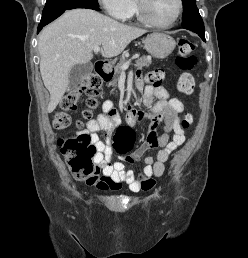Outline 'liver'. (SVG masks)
<instances>
[{
    "label": "liver",
    "instance_id": "1",
    "mask_svg": "<svg viewBox=\"0 0 248 258\" xmlns=\"http://www.w3.org/2000/svg\"><path fill=\"white\" fill-rule=\"evenodd\" d=\"M146 30L131 27L91 9H73L45 27L38 40L40 73L50 93L48 112L55 110L65 94L69 73L76 64L93 58V49L102 46V55L121 54Z\"/></svg>",
    "mask_w": 248,
    "mask_h": 258
}]
</instances>
